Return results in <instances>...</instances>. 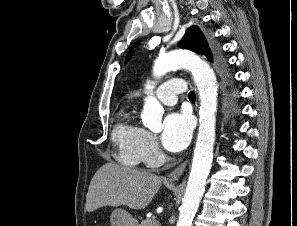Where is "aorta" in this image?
<instances>
[{"label": "aorta", "mask_w": 297, "mask_h": 226, "mask_svg": "<svg viewBox=\"0 0 297 226\" xmlns=\"http://www.w3.org/2000/svg\"><path fill=\"white\" fill-rule=\"evenodd\" d=\"M174 68L191 71L200 98L199 131L191 172L176 225L191 226L204 194L213 160L218 88L213 69L200 57L186 51H172L159 56L154 62L153 75L161 77ZM147 89L149 92L141 114L142 122L151 131L159 132L162 130L163 107L152 95L153 86H148Z\"/></svg>", "instance_id": "762f6f07"}]
</instances>
